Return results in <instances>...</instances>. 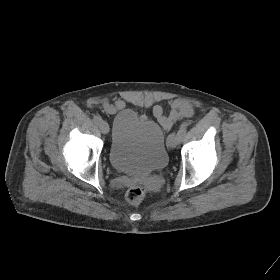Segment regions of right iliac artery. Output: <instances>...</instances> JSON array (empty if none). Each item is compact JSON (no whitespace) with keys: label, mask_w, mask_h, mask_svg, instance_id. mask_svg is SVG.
<instances>
[{"label":"right iliac artery","mask_w":280,"mask_h":280,"mask_svg":"<svg viewBox=\"0 0 280 280\" xmlns=\"http://www.w3.org/2000/svg\"><path fill=\"white\" fill-rule=\"evenodd\" d=\"M93 121H94V123H95L96 125H99V124L102 122V118H101L100 115H95V116L93 117Z\"/></svg>","instance_id":"82829eb1"}]
</instances>
